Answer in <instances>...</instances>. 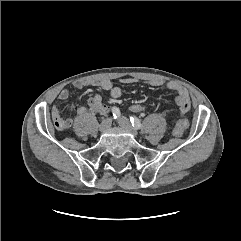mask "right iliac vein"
Instances as JSON below:
<instances>
[{"label": "right iliac vein", "mask_w": 241, "mask_h": 241, "mask_svg": "<svg viewBox=\"0 0 241 241\" xmlns=\"http://www.w3.org/2000/svg\"><path fill=\"white\" fill-rule=\"evenodd\" d=\"M110 126H111V119L107 118L101 122V124L99 125V130L102 132L106 131L107 129H109Z\"/></svg>", "instance_id": "63e3f726"}]
</instances>
